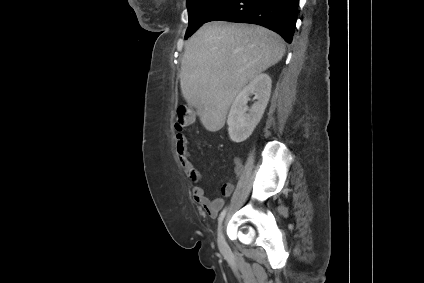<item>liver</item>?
<instances>
[{"mask_svg":"<svg viewBox=\"0 0 424 283\" xmlns=\"http://www.w3.org/2000/svg\"><path fill=\"white\" fill-rule=\"evenodd\" d=\"M285 53L282 38L255 24L213 21L187 42L181 61L180 87L196 108L206 130H220L241 89L278 63Z\"/></svg>","mask_w":424,"mask_h":283,"instance_id":"6515ba94","label":"liver"}]
</instances>
